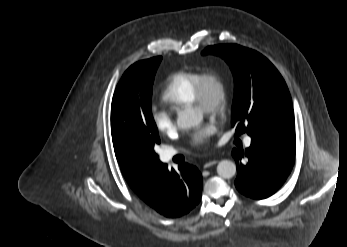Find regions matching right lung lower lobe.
Listing matches in <instances>:
<instances>
[{
    "instance_id": "obj_1",
    "label": "right lung lower lobe",
    "mask_w": 347,
    "mask_h": 247,
    "mask_svg": "<svg viewBox=\"0 0 347 247\" xmlns=\"http://www.w3.org/2000/svg\"><path fill=\"white\" fill-rule=\"evenodd\" d=\"M202 176L195 166L181 164L178 170L164 164L157 177L155 193L142 199L166 217H179L192 210L201 199Z\"/></svg>"
}]
</instances>
